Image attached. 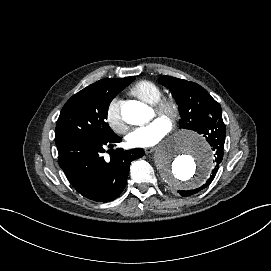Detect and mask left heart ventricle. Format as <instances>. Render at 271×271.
<instances>
[{
  "instance_id": "1",
  "label": "left heart ventricle",
  "mask_w": 271,
  "mask_h": 271,
  "mask_svg": "<svg viewBox=\"0 0 271 271\" xmlns=\"http://www.w3.org/2000/svg\"><path fill=\"white\" fill-rule=\"evenodd\" d=\"M155 116H156V114L154 113V116H153V118H154ZM153 118H152V119H153Z\"/></svg>"
}]
</instances>
